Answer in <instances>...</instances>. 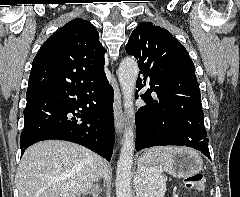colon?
<instances>
[{
    "label": "colon",
    "instance_id": "1",
    "mask_svg": "<svg viewBox=\"0 0 240 197\" xmlns=\"http://www.w3.org/2000/svg\"><path fill=\"white\" fill-rule=\"evenodd\" d=\"M184 183L190 191H201L205 187L206 179L202 173H194L186 177Z\"/></svg>",
    "mask_w": 240,
    "mask_h": 197
}]
</instances>
